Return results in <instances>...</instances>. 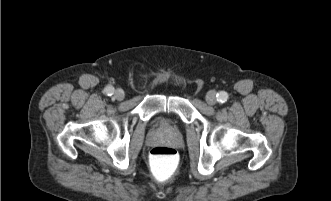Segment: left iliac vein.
<instances>
[{
    "mask_svg": "<svg viewBox=\"0 0 331 201\" xmlns=\"http://www.w3.org/2000/svg\"><path fill=\"white\" fill-rule=\"evenodd\" d=\"M206 101L209 105H214L217 102L216 92L211 90L206 95Z\"/></svg>",
    "mask_w": 331,
    "mask_h": 201,
    "instance_id": "4c4485c4",
    "label": "left iliac vein"
}]
</instances>
